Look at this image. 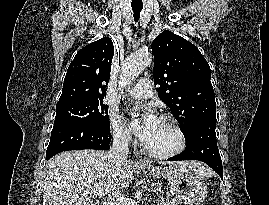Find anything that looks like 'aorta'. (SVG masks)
<instances>
[{"mask_svg": "<svg viewBox=\"0 0 269 205\" xmlns=\"http://www.w3.org/2000/svg\"><path fill=\"white\" fill-rule=\"evenodd\" d=\"M152 60L148 51H139L131 54L125 61L122 68V84H127L138 76Z\"/></svg>", "mask_w": 269, "mask_h": 205, "instance_id": "1", "label": "aorta"}]
</instances>
